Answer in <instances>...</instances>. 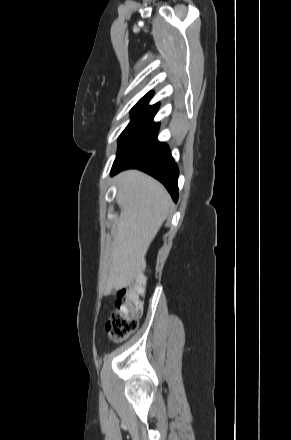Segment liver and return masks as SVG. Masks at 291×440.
I'll return each mask as SVG.
<instances>
[{"instance_id": "6515ba94", "label": "liver", "mask_w": 291, "mask_h": 440, "mask_svg": "<svg viewBox=\"0 0 291 440\" xmlns=\"http://www.w3.org/2000/svg\"><path fill=\"white\" fill-rule=\"evenodd\" d=\"M117 183L116 201L121 212L112 231L113 249L105 295L126 287L145 269L148 248L172 203L163 185L141 171L122 172Z\"/></svg>"}]
</instances>
